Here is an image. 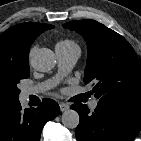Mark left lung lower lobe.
Returning a JSON list of instances; mask_svg holds the SVG:
<instances>
[{
    "mask_svg": "<svg viewBox=\"0 0 141 141\" xmlns=\"http://www.w3.org/2000/svg\"><path fill=\"white\" fill-rule=\"evenodd\" d=\"M71 108L80 116L78 141H132L141 129V109L103 102L93 113L81 103Z\"/></svg>",
    "mask_w": 141,
    "mask_h": 141,
    "instance_id": "left-lung-lower-lobe-1",
    "label": "left lung lower lobe"
}]
</instances>
